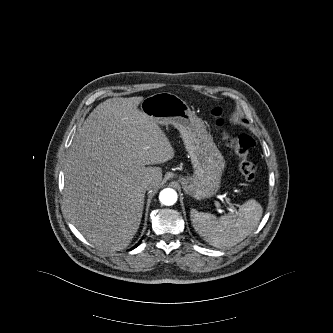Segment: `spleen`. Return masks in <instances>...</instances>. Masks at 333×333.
Returning a JSON list of instances; mask_svg holds the SVG:
<instances>
[{
	"label": "spleen",
	"mask_w": 333,
	"mask_h": 333,
	"mask_svg": "<svg viewBox=\"0 0 333 333\" xmlns=\"http://www.w3.org/2000/svg\"><path fill=\"white\" fill-rule=\"evenodd\" d=\"M262 206L254 199L242 204L235 213L220 218L192 209L191 221L195 231L214 247L234 246L244 240L259 224Z\"/></svg>",
	"instance_id": "3e777b00"
}]
</instances>
